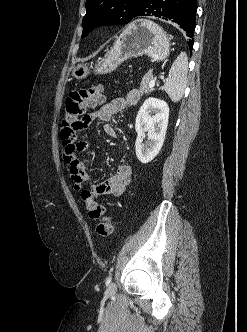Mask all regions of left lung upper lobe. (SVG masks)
<instances>
[{
  "instance_id": "obj_1",
  "label": "left lung upper lobe",
  "mask_w": 247,
  "mask_h": 332,
  "mask_svg": "<svg viewBox=\"0 0 247 332\" xmlns=\"http://www.w3.org/2000/svg\"><path fill=\"white\" fill-rule=\"evenodd\" d=\"M146 0H86L82 38L102 25L127 24Z\"/></svg>"
}]
</instances>
